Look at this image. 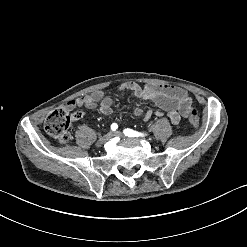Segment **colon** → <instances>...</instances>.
Returning a JSON list of instances; mask_svg holds the SVG:
<instances>
[{
    "label": "colon",
    "mask_w": 247,
    "mask_h": 247,
    "mask_svg": "<svg viewBox=\"0 0 247 247\" xmlns=\"http://www.w3.org/2000/svg\"><path fill=\"white\" fill-rule=\"evenodd\" d=\"M193 127L198 128V118L190 121ZM72 120L69 112L54 110L44 120V129L52 135L59 143L66 144L72 139L70 126Z\"/></svg>",
    "instance_id": "1"
}]
</instances>
